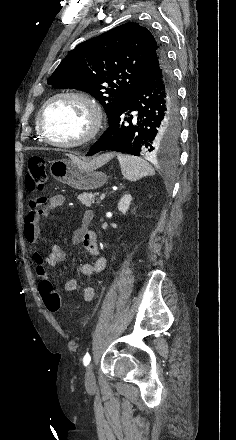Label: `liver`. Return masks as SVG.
<instances>
[{
	"instance_id": "1",
	"label": "liver",
	"mask_w": 236,
	"mask_h": 440,
	"mask_svg": "<svg viewBox=\"0 0 236 440\" xmlns=\"http://www.w3.org/2000/svg\"><path fill=\"white\" fill-rule=\"evenodd\" d=\"M68 156L70 157V159H73V160H77V161L82 162L81 160H79V159H78L77 157H75L74 155L69 154ZM113 156H114V155L111 154V153H110V154H105V155H102V156L97 157L96 159H94L93 161H91V162H89V163H84V162H82V163L88 165V166L91 167V168H98V167H101L102 165H104V164H105L107 161H109Z\"/></svg>"
}]
</instances>
